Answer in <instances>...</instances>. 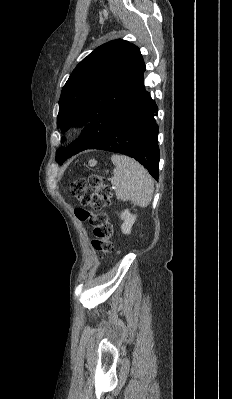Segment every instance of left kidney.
Returning a JSON list of instances; mask_svg holds the SVG:
<instances>
[{"label": "left kidney", "instance_id": "obj_1", "mask_svg": "<svg viewBox=\"0 0 232 399\" xmlns=\"http://www.w3.org/2000/svg\"><path fill=\"white\" fill-rule=\"evenodd\" d=\"M120 217H121V219H124V221L121 225V229H122L123 233H130L131 227L136 219V215H133V213H130V211H128V209H124V211H122V213H120Z\"/></svg>", "mask_w": 232, "mask_h": 399}]
</instances>
